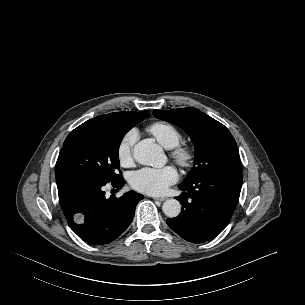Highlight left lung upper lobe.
<instances>
[{
    "instance_id": "left-lung-upper-lobe-1",
    "label": "left lung upper lobe",
    "mask_w": 305,
    "mask_h": 305,
    "mask_svg": "<svg viewBox=\"0 0 305 305\" xmlns=\"http://www.w3.org/2000/svg\"><path fill=\"white\" fill-rule=\"evenodd\" d=\"M156 118L175 124L190 136L195 146L192 170L182 183L225 168L240 167L236 142L229 130L220 122L195 108L169 111L154 110Z\"/></svg>"
}]
</instances>
